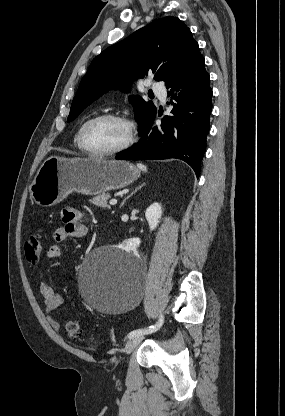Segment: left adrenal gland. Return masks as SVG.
I'll list each match as a JSON object with an SVG mask.
<instances>
[{
	"label": "left adrenal gland",
	"mask_w": 285,
	"mask_h": 416,
	"mask_svg": "<svg viewBox=\"0 0 285 416\" xmlns=\"http://www.w3.org/2000/svg\"><path fill=\"white\" fill-rule=\"evenodd\" d=\"M143 186H145L144 182H143V184H141V186H138V188H136V190H134V192H132V194H130V196H133V194H135V192H138V190H140V188H143ZM130 196H127V198H125V200H123L120 208H122V206H124L126 200H128V198H130Z\"/></svg>",
	"instance_id": "1"
}]
</instances>
